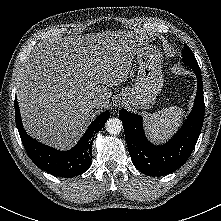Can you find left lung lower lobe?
<instances>
[{"label": "left lung lower lobe", "mask_w": 221, "mask_h": 221, "mask_svg": "<svg viewBox=\"0 0 221 221\" xmlns=\"http://www.w3.org/2000/svg\"><path fill=\"white\" fill-rule=\"evenodd\" d=\"M197 77L194 107L180 130L167 143L151 144L144 133L142 117L121 109L125 138L134 166L148 176H162L180 168L191 155L204 120L203 81L200 69H193Z\"/></svg>", "instance_id": "left-lung-lower-lobe-1"}]
</instances>
